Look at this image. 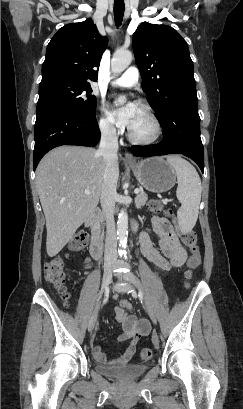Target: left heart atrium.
<instances>
[{
	"mask_svg": "<svg viewBox=\"0 0 243 409\" xmlns=\"http://www.w3.org/2000/svg\"><path fill=\"white\" fill-rule=\"evenodd\" d=\"M136 112V104L128 102L121 107H115L111 110L110 115L112 120L121 127L129 128L132 124Z\"/></svg>",
	"mask_w": 243,
	"mask_h": 409,
	"instance_id": "left-heart-atrium-1",
	"label": "left heart atrium"
}]
</instances>
